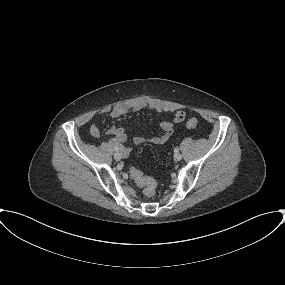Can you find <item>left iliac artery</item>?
Instances as JSON below:
<instances>
[{
	"instance_id": "44dca946",
	"label": "left iliac artery",
	"mask_w": 285,
	"mask_h": 285,
	"mask_svg": "<svg viewBox=\"0 0 285 285\" xmlns=\"http://www.w3.org/2000/svg\"><path fill=\"white\" fill-rule=\"evenodd\" d=\"M174 152H175V153L179 152V148H175V149H174Z\"/></svg>"
}]
</instances>
